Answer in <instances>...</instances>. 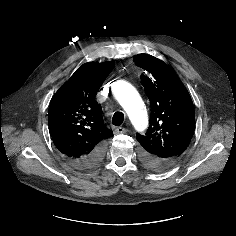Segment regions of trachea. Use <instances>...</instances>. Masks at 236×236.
<instances>
[{"instance_id": "obj_1", "label": "trachea", "mask_w": 236, "mask_h": 236, "mask_svg": "<svg viewBox=\"0 0 236 236\" xmlns=\"http://www.w3.org/2000/svg\"><path fill=\"white\" fill-rule=\"evenodd\" d=\"M124 121V114L122 112H116L114 115H113V118H112V124L114 126H120L122 125Z\"/></svg>"}]
</instances>
